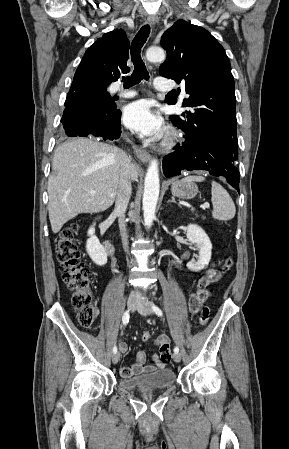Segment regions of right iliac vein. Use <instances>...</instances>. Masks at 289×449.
Wrapping results in <instances>:
<instances>
[{
  "label": "right iliac vein",
  "instance_id": "right-iliac-vein-1",
  "mask_svg": "<svg viewBox=\"0 0 289 449\" xmlns=\"http://www.w3.org/2000/svg\"><path fill=\"white\" fill-rule=\"evenodd\" d=\"M136 305H137V299H136V296H135L134 294H132V295H130V297H129L128 301H127L128 309H130L131 311H134L135 308H136ZM119 358H120L119 353H115V354L112 356V362H113L114 364H117L118 361H119Z\"/></svg>",
  "mask_w": 289,
  "mask_h": 449
}]
</instances>
